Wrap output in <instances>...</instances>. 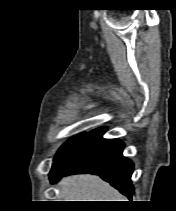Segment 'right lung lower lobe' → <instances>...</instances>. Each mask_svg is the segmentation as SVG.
<instances>
[{
    "label": "right lung lower lobe",
    "mask_w": 176,
    "mask_h": 211,
    "mask_svg": "<svg viewBox=\"0 0 176 211\" xmlns=\"http://www.w3.org/2000/svg\"><path fill=\"white\" fill-rule=\"evenodd\" d=\"M106 128L87 133L71 146L56 162L49 173L56 183L61 177L74 173L98 174L131 199L133 163L122 155L124 143L118 139L102 138Z\"/></svg>",
    "instance_id": "1"
}]
</instances>
